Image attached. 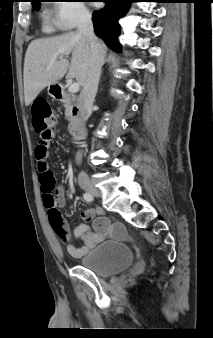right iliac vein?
I'll use <instances>...</instances> for the list:
<instances>
[{"instance_id": "right-iliac-vein-1", "label": "right iliac vein", "mask_w": 213, "mask_h": 338, "mask_svg": "<svg viewBox=\"0 0 213 338\" xmlns=\"http://www.w3.org/2000/svg\"><path fill=\"white\" fill-rule=\"evenodd\" d=\"M82 188L94 196H99V191L90 183L82 185Z\"/></svg>"}]
</instances>
